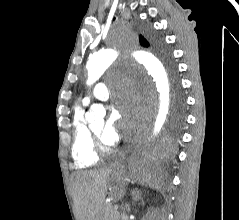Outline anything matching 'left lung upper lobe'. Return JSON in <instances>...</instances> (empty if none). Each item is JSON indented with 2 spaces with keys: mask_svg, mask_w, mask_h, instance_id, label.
<instances>
[{
  "mask_svg": "<svg viewBox=\"0 0 239 220\" xmlns=\"http://www.w3.org/2000/svg\"><path fill=\"white\" fill-rule=\"evenodd\" d=\"M149 38H150L151 44L159 50L160 54L164 57L166 62H168V65L170 66V70H171L172 74L175 76V73H176L175 67H174L173 63L171 62L170 56H169L168 52L165 50L161 39L153 34H150ZM139 39H140V44L142 46H144V47L149 46L148 41L142 35L139 36ZM182 108H183V99H182L181 93L178 91L176 93V115H175V124H177V125L182 120Z\"/></svg>",
  "mask_w": 239,
  "mask_h": 220,
  "instance_id": "obj_1",
  "label": "left lung upper lobe"
}]
</instances>
